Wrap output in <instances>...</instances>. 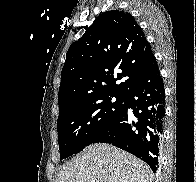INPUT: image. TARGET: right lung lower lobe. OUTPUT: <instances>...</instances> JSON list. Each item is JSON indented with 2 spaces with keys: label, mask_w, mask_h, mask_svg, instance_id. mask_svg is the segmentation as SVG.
<instances>
[{
  "label": "right lung lower lobe",
  "mask_w": 196,
  "mask_h": 182,
  "mask_svg": "<svg viewBox=\"0 0 196 182\" xmlns=\"http://www.w3.org/2000/svg\"><path fill=\"white\" fill-rule=\"evenodd\" d=\"M165 89L155 61L124 96L123 110L92 143H110L146 162L153 172L158 166L165 117ZM131 108L134 118L128 116Z\"/></svg>",
  "instance_id": "right-lung-lower-lobe-1"
}]
</instances>
